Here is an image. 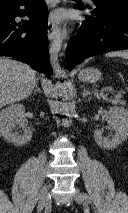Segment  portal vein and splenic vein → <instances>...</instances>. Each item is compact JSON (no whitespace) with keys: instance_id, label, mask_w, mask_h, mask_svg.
Here are the masks:
<instances>
[{"instance_id":"18ae733b","label":"portal vein and splenic vein","mask_w":128,"mask_h":213,"mask_svg":"<svg viewBox=\"0 0 128 213\" xmlns=\"http://www.w3.org/2000/svg\"><path fill=\"white\" fill-rule=\"evenodd\" d=\"M123 96V91H119L116 97H122Z\"/></svg>"}]
</instances>
